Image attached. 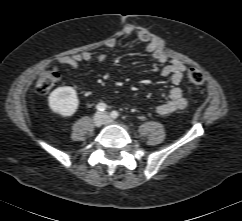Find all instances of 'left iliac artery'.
Returning a JSON list of instances; mask_svg holds the SVG:
<instances>
[{
  "instance_id": "44dca946",
  "label": "left iliac artery",
  "mask_w": 242,
  "mask_h": 221,
  "mask_svg": "<svg viewBox=\"0 0 242 221\" xmlns=\"http://www.w3.org/2000/svg\"><path fill=\"white\" fill-rule=\"evenodd\" d=\"M110 115H111L112 118L115 119L119 116V113L117 111H112Z\"/></svg>"
}]
</instances>
